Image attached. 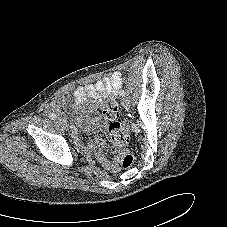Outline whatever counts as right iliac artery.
Masks as SVG:
<instances>
[{"mask_svg":"<svg viewBox=\"0 0 227 227\" xmlns=\"http://www.w3.org/2000/svg\"><path fill=\"white\" fill-rule=\"evenodd\" d=\"M49 118H50V119H56L57 116H56L54 113H50V114H49Z\"/></svg>","mask_w":227,"mask_h":227,"instance_id":"right-iliac-artery-1","label":"right iliac artery"}]
</instances>
